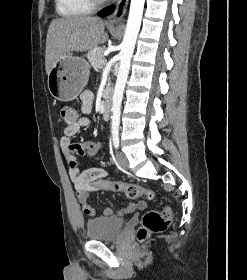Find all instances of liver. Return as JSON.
Returning a JSON list of instances; mask_svg holds the SVG:
<instances>
[{
  "label": "liver",
  "instance_id": "liver-1",
  "mask_svg": "<svg viewBox=\"0 0 247 280\" xmlns=\"http://www.w3.org/2000/svg\"><path fill=\"white\" fill-rule=\"evenodd\" d=\"M103 20L73 16L54 19L46 38L45 69L49 75L56 63L71 51H88L107 41Z\"/></svg>",
  "mask_w": 247,
  "mask_h": 280
}]
</instances>
